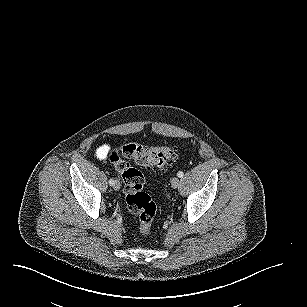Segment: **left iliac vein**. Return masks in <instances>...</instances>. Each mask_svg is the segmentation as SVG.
Instances as JSON below:
<instances>
[{"instance_id": "4c4485c4", "label": "left iliac vein", "mask_w": 307, "mask_h": 307, "mask_svg": "<svg viewBox=\"0 0 307 307\" xmlns=\"http://www.w3.org/2000/svg\"><path fill=\"white\" fill-rule=\"evenodd\" d=\"M180 179L178 177H174L172 180H171V186L172 188L176 189L178 188L179 184H180Z\"/></svg>"}]
</instances>
